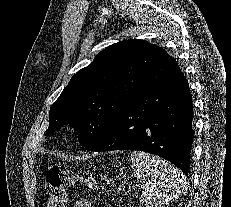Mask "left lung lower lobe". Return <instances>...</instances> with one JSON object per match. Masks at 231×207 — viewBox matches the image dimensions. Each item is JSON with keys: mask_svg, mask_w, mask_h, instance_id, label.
Wrapping results in <instances>:
<instances>
[{"mask_svg": "<svg viewBox=\"0 0 231 207\" xmlns=\"http://www.w3.org/2000/svg\"><path fill=\"white\" fill-rule=\"evenodd\" d=\"M192 120L188 81L165 52L143 91L116 116L89 149L149 152L172 162L188 176Z\"/></svg>", "mask_w": 231, "mask_h": 207, "instance_id": "obj_1", "label": "left lung lower lobe"}]
</instances>
